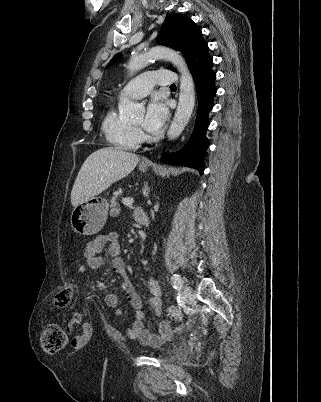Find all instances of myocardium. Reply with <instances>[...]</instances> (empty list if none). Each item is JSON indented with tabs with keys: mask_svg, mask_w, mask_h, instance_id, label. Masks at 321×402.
<instances>
[{
	"mask_svg": "<svg viewBox=\"0 0 321 402\" xmlns=\"http://www.w3.org/2000/svg\"><path fill=\"white\" fill-rule=\"evenodd\" d=\"M133 127H134V129L137 131V130H139V127L138 126H135V125H132Z\"/></svg>",
	"mask_w": 321,
	"mask_h": 402,
	"instance_id": "f54148a6",
	"label": "myocardium"
}]
</instances>
